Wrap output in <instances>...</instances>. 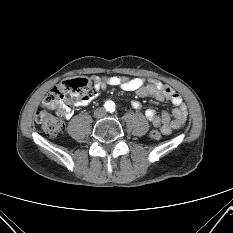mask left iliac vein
<instances>
[{
    "label": "left iliac vein",
    "instance_id": "obj_1",
    "mask_svg": "<svg viewBox=\"0 0 233 233\" xmlns=\"http://www.w3.org/2000/svg\"><path fill=\"white\" fill-rule=\"evenodd\" d=\"M102 116H106V112L105 111H103Z\"/></svg>",
    "mask_w": 233,
    "mask_h": 233
}]
</instances>
